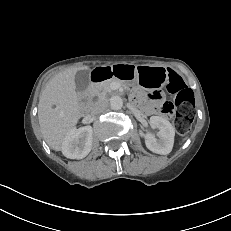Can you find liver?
Segmentation results:
<instances>
[{"instance_id": "liver-1", "label": "liver", "mask_w": 231, "mask_h": 231, "mask_svg": "<svg viewBox=\"0 0 231 231\" xmlns=\"http://www.w3.org/2000/svg\"><path fill=\"white\" fill-rule=\"evenodd\" d=\"M86 66L68 68L55 75L42 90L38 120L48 146L60 151L67 134L82 117L76 92L75 75Z\"/></svg>"}]
</instances>
